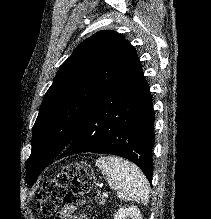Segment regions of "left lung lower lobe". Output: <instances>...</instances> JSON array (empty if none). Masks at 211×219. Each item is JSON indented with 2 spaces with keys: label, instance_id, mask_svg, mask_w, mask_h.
<instances>
[{
  "label": "left lung lower lobe",
  "instance_id": "1",
  "mask_svg": "<svg viewBox=\"0 0 211 219\" xmlns=\"http://www.w3.org/2000/svg\"><path fill=\"white\" fill-rule=\"evenodd\" d=\"M154 121L152 96L137 58L87 112L58 159L84 152L117 155L139 166L152 183ZM32 156L45 168L57 155L40 149Z\"/></svg>",
  "mask_w": 211,
  "mask_h": 219
}]
</instances>
